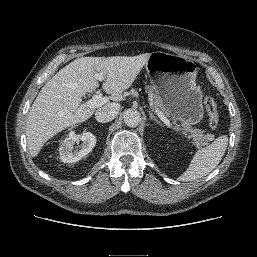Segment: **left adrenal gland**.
<instances>
[{"label":"left adrenal gland","mask_w":257,"mask_h":257,"mask_svg":"<svg viewBox=\"0 0 257 257\" xmlns=\"http://www.w3.org/2000/svg\"><path fill=\"white\" fill-rule=\"evenodd\" d=\"M149 119L150 120H154L155 122H157L158 124H161V121L157 119V117L151 112L149 111Z\"/></svg>","instance_id":"a2214340"}]
</instances>
